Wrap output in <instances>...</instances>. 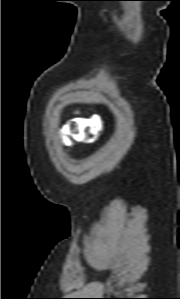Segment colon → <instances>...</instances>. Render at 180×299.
Returning a JSON list of instances; mask_svg holds the SVG:
<instances>
[{
  "label": "colon",
  "mask_w": 180,
  "mask_h": 299,
  "mask_svg": "<svg viewBox=\"0 0 180 299\" xmlns=\"http://www.w3.org/2000/svg\"><path fill=\"white\" fill-rule=\"evenodd\" d=\"M68 132L71 135L79 134V127L76 123H71L68 127ZM83 138L87 141L92 140L94 138V134L89 129H85L82 132Z\"/></svg>",
  "instance_id": "5ec220e1"
}]
</instances>
